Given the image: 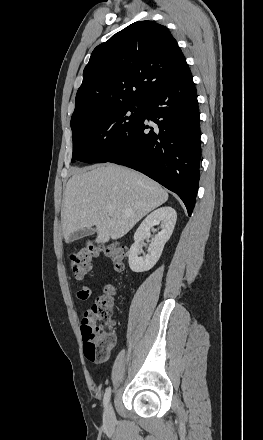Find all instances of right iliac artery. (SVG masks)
I'll use <instances>...</instances> for the list:
<instances>
[{"label":"right iliac artery","mask_w":263,"mask_h":440,"mask_svg":"<svg viewBox=\"0 0 263 440\" xmlns=\"http://www.w3.org/2000/svg\"><path fill=\"white\" fill-rule=\"evenodd\" d=\"M110 396H111V388H107L106 392L104 394V399H103L104 407H106L108 405V402L110 400Z\"/></svg>","instance_id":"82829eb1"}]
</instances>
